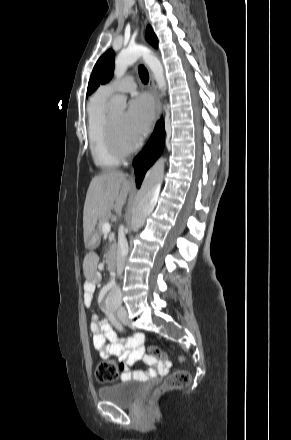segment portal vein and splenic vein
<instances>
[{
    "mask_svg": "<svg viewBox=\"0 0 291 440\" xmlns=\"http://www.w3.org/2000/svg\"><path fill=\"white\" fill-rule=\"evenodd\" d=\"M102 229L104 234H108L111 230V226L109 223H104Z\"/></svg>",
    "mask_w": 291,
    "mask_h": 440,
    "instance_id": "18ae733b",
    "label": "portal vein and splenic vein"
}]
</instances>
